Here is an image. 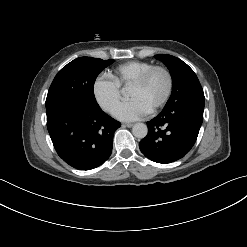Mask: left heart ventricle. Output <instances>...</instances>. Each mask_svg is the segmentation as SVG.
<instances>
[{
  "instance_id": "obj_1",
  "label": "left heart ventricle",
  "mask_w": 247,
  "mask_h": 247,
  "mask_svg": "<svg viewBox=\"0 0 247 247\" xmlns=\"http://www.w3.org/2000/svg\"><path fill=\"white\" fill-rule=\"evenodd\" d=\"M166 89V75L162 71H155L143 86H130L129 98L139 99L151 109L163 98Z\"/></svg>"
}]
</instances>
